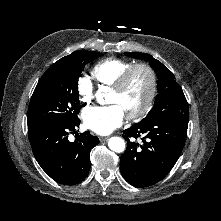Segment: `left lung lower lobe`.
<instances>
[{"mask_svg":"<svg viewBox=\"0 0 221 221\" xmlns=\"http://www.w3.org/2000/svg\"><path fill=\"white\" fill-rule=\"evenodd\" d=\"M189 108L183 93L170 104L168 112L123 131L127 148L120 158V171L135 187L151 186L173 168L184 147ZM141 138V144L130 137Z\"/></svg>","mask_w":221,"mask_h":221,"instance_id":"0a47b994","label":"left lung lower lobe"}]
</instances>
